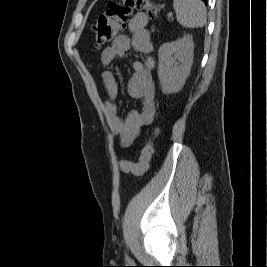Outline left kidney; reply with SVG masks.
<instances>
[{
  "mask_svg": "<svg viewBox=\"0 0 267 267\" xmlns=\"http://www.w3.org/2000/svg\"><path fill=\"white\" fill-rule=\"evenodd\" d=\"M194 43L191 35L164 43L158 50V78L164 94L179 92L190 74Z\"/></svg>",
  "mask_w": 267,
  "mask_h": 267,
  "instance_id": "obj_1",
  "label": "left kidney"
}]
</instances>
